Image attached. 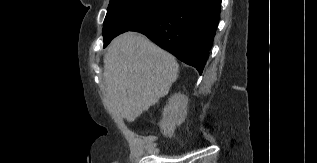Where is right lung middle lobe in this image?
I'll list each match as a JSON object with an SVG mask.
<instances>
[{"instance_id":"dd1d6c3e","label":"right lung middle lobe","mask_w":317,"mask_h":163,"mask_svg":"<svg viewBox=\"0 0 317 163\" xmlns=\"http://www.w3.org/2000/svg\"><path fill=\"white\" fill-rule=\"evenodd\" d=\"M171 0H110L104 20V45L161 12Z\"/></svg>"}]
</instances>
